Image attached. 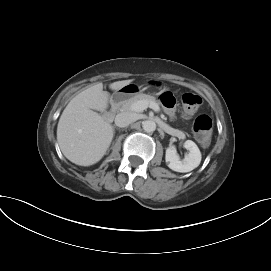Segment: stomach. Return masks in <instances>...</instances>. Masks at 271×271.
I'll return each mask as SVG.
<instances>
[{
	"label": "stomach",
	"mask_w": 271,
	"mask_h": 271,
	"mask_svg": "<svg viewBox=\"0 0 271 271\" xmlns=\"http://www.w3.org/2000/svg\"><path fill=\"white\" fill-rule=\"evenodd\" d=\"M140 91H141V88L139 86H137L136 84L130 83L118 89L114 93L113 98L114 100H124L126 98H129L138 94Z\"/></svg>",
	"instance_id": "1"
}]
</instances>
